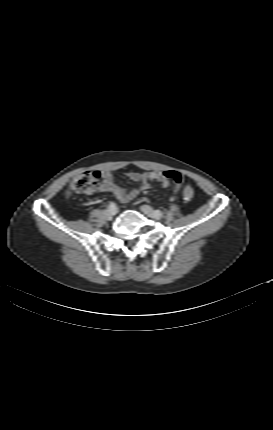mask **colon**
<instances>
[{"instance_id": "1", "label": "colon", "mask_w": 273, "mask_h": 430, "mask_svg": "<svg viewBox=\"0 0 273 430\" xmlns=\"http://www.w3.org/2000/svg\"><path fill=\"white\" fill-rule=\"evenodd\" d=\"M100 178L101 173L98 171H83L72 180L67 194L74 195L90 193L94 190ZM183 195L186 200H190L194 197L195 190L191 186H186Z\"/></svg>"}]
</instances>
